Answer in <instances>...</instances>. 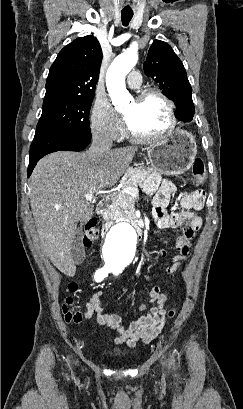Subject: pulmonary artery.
<instances>
[{"instance_id":"pulmonary-artery-1","label":"pulmonary artery","mask_w":243,"mask_h":409,"mask_svg":"<svg viewBox=\"0 0 243 409\" xmlns=\"http://www.w3.org/2000/svg\"><path fill=\"white\" fill-rule=\"evenodd\" d=\"M142 77L140 72L138 71H131L127 77V83L131 88H138L141 85Z\"/></svg>"}]
</instances>
